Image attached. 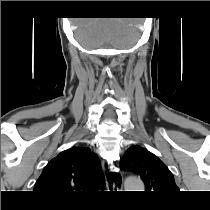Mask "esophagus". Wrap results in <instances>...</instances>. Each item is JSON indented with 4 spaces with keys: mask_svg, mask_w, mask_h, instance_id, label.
Returning <instances> with one entry per match:
<instances>
[{
    "mask_svg": "<svg viewBox=\"0 0 210 210\" xmlns=\"http://www.w3.org/2000/svg\"><path fill=\"white\" fill-rule=\"evenodd\" d=\"M103 165L105 166V178H106V184L107 186L111 183L112 181V177L110 176L111 171L109 170V163H103ZM115 184L113 183V186L116 187L117 191H122L123 190V182H124V177L122 175V173L118 174L115 178Z\"/></svg>",
    "mask_w": 210,
    "mask_h": 210,
    "instance_id": "1",
    "label": "esophagus"
}]
</instances>
